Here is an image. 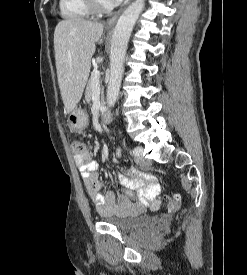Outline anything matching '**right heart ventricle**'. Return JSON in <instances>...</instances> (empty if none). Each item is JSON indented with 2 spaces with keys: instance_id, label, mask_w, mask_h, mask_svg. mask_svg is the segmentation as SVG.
I'll return each mask as SVG.
<instances>
[{
  "instance_id": "1",
  "label": "right heart ventricle",
  "mask_w": 247,
  "mask_h": 275,
  "mask_svg": "<svg viewBox=\"0 0 247 275\" xmlns=\"http://www.w3.org/2000/svg\"><path fill=\"white\" fill-rule=\"evenodd\" d=\"M59 8L69 20L88 18L92 13L85 0H59Z\"/></svg>"
}]
</instances>
